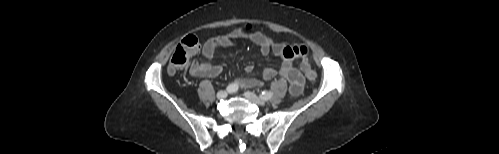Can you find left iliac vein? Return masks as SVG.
<instances>
[{
  "instance_id": "left-iliac-vein-1",
  "label": "left iliac vein",
  "mask_w": 499,
  "mask_h": 154,
  "mask_svg": "<svg viewBox=\"0 0 499 154\" xmlns=\"http://www.w3.org/2000/svg\"><path fill=\"white\" fill-rule=\"evenodd\" d=\"M244 97L247 98L248 100L252 101L254 104L263 106L265 105V100L262 98L258 97L256 94L250 91L244 92Z\"/></svg>"
}]
</instances>
